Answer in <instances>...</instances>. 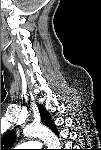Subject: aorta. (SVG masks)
<instances>
[{
    "instance_id": "1",
    "label": "aorta",
    "mask_w": 101,
    "mask_h": 150,
    "mask_svg": "<svg viewBox=\"0 0 101 150\" xmlns=\"http://www.w3.org/2000/svg\"><path fill=\"white\" fill-rule=\"evenodd\" d=\"M24 135L27 137H40L50 149H58L60 142L56 135L47 127L41 124H31L24 129Z\"/></svg>"
}]
</instances>
